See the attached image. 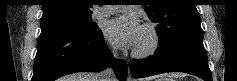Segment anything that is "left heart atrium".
I'll return each instance as SVG.
<instances>
[{"mask_svg": "<svg viewBox=\"0 0 237 81\" xmlns=\"http://www.w3.org/2000/svg\"><path fill=\"white\" fill-rule=\"evenodd\" d=\"M141 32V25L132 15L116 18L107 27L108 38L123 47L135 48L140 39Z\"/></svg>", "mask_w": 237, "mask_h": 81, "instance_id": "left-heart-atrium-1", "label": "left heart atrium"}]
</instances>
